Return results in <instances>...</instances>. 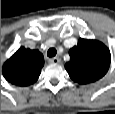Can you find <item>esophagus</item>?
Masks as SVG:
<instances>
[{
    "label": "esophagus",
    "mask_w": 115,
    "mask_h": 114,
    "mask_svg": "<svg viewBox=\"0 0 115 114\" xmlns=\"http://www.w3.org/2000/svg\"><path fill=\"white\" fill-rule=\"evenodd\" d=\"M60 62H61V59L58 56L49 59V63H51V64H59Z\"/></svg>",
    "instance_id": "1"
}]
</instances>
